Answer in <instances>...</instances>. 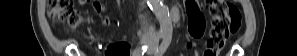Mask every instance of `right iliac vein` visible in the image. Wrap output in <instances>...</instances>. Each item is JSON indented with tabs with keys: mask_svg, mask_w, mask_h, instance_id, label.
<instances>
[{
	"mask_svg": "<svg viewBox=\"0 0 297 56\" xmlns=\"http://www.w3.org/2000/svg\"><path fill=\"white\" fill-rule=\"evenodd\" d=\"M147 42H148V40H147L146 37H142V38L140 39V43H141V44H145V43H147Z\"/></svg>",
	"mask_w": 297,
	"mask_h": 56,
	"instance_id": "1",
	"label": "right iliac vein"
}]
</instances>
